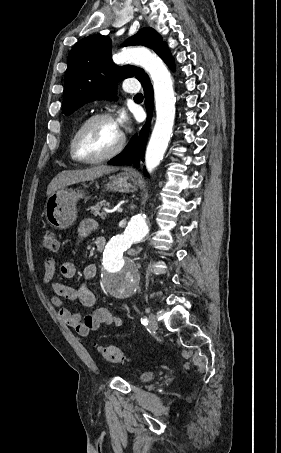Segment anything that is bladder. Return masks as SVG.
<instances>
[{
  "label": "bladder",
  "instance_id": "1",
  "mask_svg": "<svg viewBox=\"0 0 281 453\" xmlns=\"http://www.w3.org/2000/svg\"><path fill=\"white\" fill-rule=\"evenodd\" d=\"M152 377H153V373H151V372H145V373H142V374L139 376V380H140V381H148V380H150Z\"/></svg>",
  "mask_w": 281,
  "mask_h": 453
}]
</instances>
